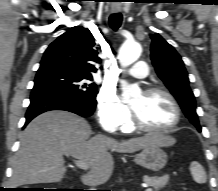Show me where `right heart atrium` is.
I'll return each instance as SVG.
<instances>
[{"instance_id":"1","label":"right heart atrium","mask_w":218,"mask_h":191,"mask_svg":"<svg viewBox=\"0 0 218 191\" xmlns=\"http://www.w3.org/2000/svg\"><path fill=\"white\" fill-rule=\"evenodd\" d=\"M96 115L99 124L108 132H116L130 120L129 108L112 90H103L97 100Z\"/></svg>"}]
</instances>
